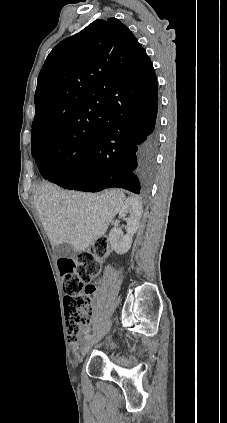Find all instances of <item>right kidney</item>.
Instances as JSON below:
<instances>
[{
  "mask_svg": "<svg viewBox=\"0 0 227 423\" xmlns=\"http://www.w3.org/2000/svg\"><path fill=\"white\" fill-rule=\"evenodd\" d=\"M142 211V202L140 198H137V196H131V198H127L123 206H121L119 210V215H121V217H125V215L129 213V217H126L127 233L124 235L121 227H112L108 237V241H110L116 253H126V251L130 249L133 241V235H135L138 229Z\"/></svg>",
  "mask_w": 227,
  "mask_h": 423,
  "instance_id": "right-kidney-1",
  "label": "right kidney"
}]
</instances>
